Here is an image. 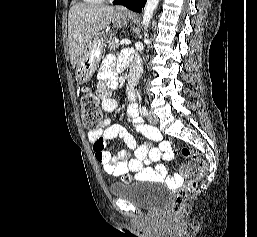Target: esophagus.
<instances>
[{"instance_id": "obj_1", "label": "esophagus", "mask_w": 257, "mask_h": 237, "mask_svg": "<svg viewBox=\"0 0 257 237\" xmlns=\"http://www.w3.org/2000/svg\"><path fill=\"white\" fill-rule=\"evenodd\" d=\"M118 11L124 12V11H126V9L123 6H121V7H119Z\"/></svg>"}]
</instances>
